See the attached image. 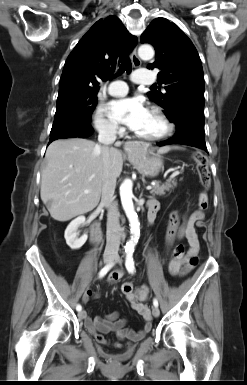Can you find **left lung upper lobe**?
<instances>
[{
  "label": "left lung upper lobe",
  "instance_id": "left-lung-upper-lobe-1",
  "mask_svg": "<svg viewBox=\"0 0 247 385\" xmlns=\"http://www.w3.org/2000/svg\"><path fill=\"white\" fill-rule=\"evenodd\" d=\"M142 43L154 46L157 59L148 69H159L158 83L165 91L148 92L173 121L180 113L204 114V75L200 57L191 40L166 18L154 19L141 35Z\"/></svg>",
  "mask_w": 247,
  "mask_h": 385
}]
</instances>
